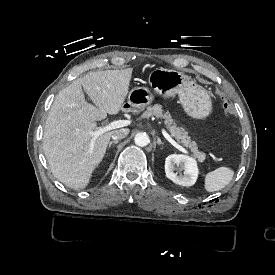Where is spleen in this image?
Listing matches in <instances>:
<instances>
[{"label": "spleen", "instance_id": "1", "mask_svg": "<svg viewBox=\"0 0 275 275\" xmlns=\"http://www.w3.org/2000/svg\"><path fill=\"white\" fill-rule=\"evenodd\" d=\"M234 170L227 166H220L214 171L207 172L204 176L203 187L206 192L223 189L234 177Z\"/></svg>", "mask_w": 275, "mask_h": 275}]
</instances>
